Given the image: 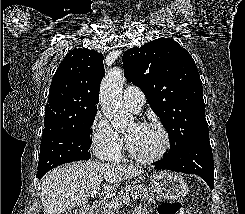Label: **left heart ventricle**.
Returning a JSON list of instances; mask_svg holds the SVG:
<instances>
[{"label": "left heart ventricle", "instance_id": "left-heart-ventricle-1", "mask_svg": "<svg viewBox=\"0 0 245 214\" xmlns=\"http://www.w3.org/2000/svg\"><path fill=\"white\" fill-rule=\"evenodd\" d=\"M129 148L141 156L154 155L163 144L161 133L154 128L130 123L123 130Z\"/></svg>", "mask_w": 245, "mask_h": 214}]
</instances>
